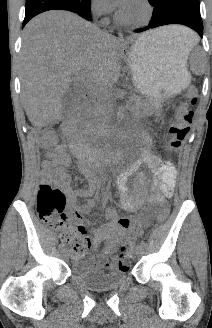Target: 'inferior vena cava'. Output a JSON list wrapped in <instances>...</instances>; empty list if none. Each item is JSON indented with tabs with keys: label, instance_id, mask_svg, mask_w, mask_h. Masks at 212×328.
<instances>
[{
	"label": "inferior vena cava",
	"instance_id": "obj_1",
	"mask_svg": "<svg viewBox=\"0 0 212 328\" xmlns=\"http://www.w3.org/2000/svg\"><path fill=\"white\" fill-rule=\"evenodd\" d=\"M106 12V8L104 6H98L95 7L94 9V16L95 17H100ZM97 106V101H96V96L92 97L91 99V109L95 110Z\"/></svg>",
	"mask_w": 212,
	"mask_h": 328
}]
</instances>
